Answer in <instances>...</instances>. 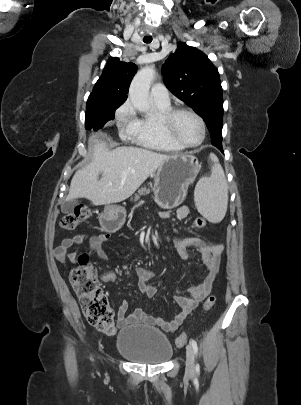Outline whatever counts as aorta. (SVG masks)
<instances>
[{"label": "aorta", "mask_w": 301, "mask_h": 405, "mask_svg": "<svg viewBox=\"0 0 301 405\" xmlns=\"http://www.w3.org/2000/svg\"><path fill=\"white\" fill-rule=\"evenodd\" d=\"M153 66L142 68L133 78L129 88V98L132 105L140 112H149V89L155 77Z\"/></svg>", "instance_id": "762f6f07"}]
</instances>
